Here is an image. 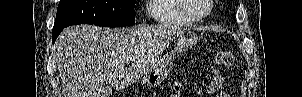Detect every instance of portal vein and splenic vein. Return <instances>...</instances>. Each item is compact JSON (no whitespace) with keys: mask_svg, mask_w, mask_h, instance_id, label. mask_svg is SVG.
<instances>
[{"mask_svg":"<svg viewBox=\"0 0 302 97\" xmlns=\"http://www.w3.org/2000/svg\"><path fill=\"white\" fill-rule=\"evenodd\" d=\"M127 60H132V57L127 58Z\"/></svg>","mask_w":302,"mask_h":97,"instance_id":"18ae733b","label":"portal vein and splenic vein"}]
</instances>
